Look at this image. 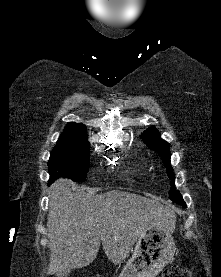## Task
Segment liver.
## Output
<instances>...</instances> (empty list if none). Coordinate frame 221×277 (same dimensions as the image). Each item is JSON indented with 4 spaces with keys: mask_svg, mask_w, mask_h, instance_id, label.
<instances>
[{
    "mask_svg": "<svg viewBox=\"0 0 221 277\" xmlns=\"http://www.w3.org/2000/svg\"><path fill=\"white\" fill-rule=\"evenodd\" d=\"M71 185L70 180L60 178L50 188L49 275L88 266L101 242L108 259L120 264L149 227L175 219L169 208L136 194L72 192Z\"/></svg>",
    "mask_w": 221,
    "mask_h": 277,
    "instance_id": "obj_1",
    "label": "liver"
}]
</instances>
